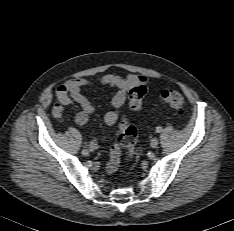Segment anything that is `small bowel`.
<instances>
[{
    "instance_id": "c3829d8e",
    "label": "small bowel",
    "mask_w": 234,
    "mask_h": 231,
    "mask_svg": "<svg viewBox=\"0 0 234 231\" xmlns=\"http://www.w3.org/2000/svg\"><path fill=\"white\" fill-rule=\"evenodd\" d=\"M136 82L137 78L134 75L122 77L114 74L105 75L98 81H90L82 78L70 79L57 88V103L53 106L52 114L54 117L59 118L65 106L77 103L82 110L77 113L75 121L79 125H85L89 122L90 116L93 114L95 108L91 101L83 94L82 89L94 85L109 86L115 88L116 92L111 101L113 110L105 114L104 121L108 125H113L119 118L118 109L125 103L128 90ZM116 168L117 165L111 159L106 166L107 172L112 173Z\"/></svg>"
}]
</instances>
